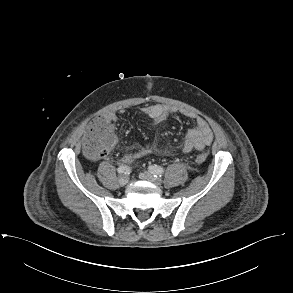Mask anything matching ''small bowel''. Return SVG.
<instances>
[{
  "mask_svg": "<svg viewBox=\"0 0 293 293\" xmlns=\"http://www.w3.org/2000/svg\"><path fill=\"white\" fill-rule=\"evenodd\" d=\"M177 111L176 108L166 105L153 104L143 107L140 112L148 116L155 124H159L167 119L171 114ZM124 110L107 111L103 114V118L110 124L118 121ZM181 114L187 118L194 120L195 125L189 129L184 138L182 149L185 153H190L193 150H202L213 141V133L206 122L200 116H197L188 111H181ZM116 145V143H115ZM114 145V146H115ZM152 149H141L127 153L122 157V162L130 163L134 159L152 153ZM158 152L162 155H168L169 151L166 148L158 147Z\"/></svg>",
  "mask_w": 293,
  "mask_h": 293,
  "instance_id": "c3829d8e",
  "label": "small bowel"
}]
</instances>
